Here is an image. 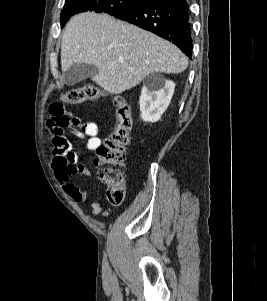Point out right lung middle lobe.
Listing matches in <instances>:
<instances>
[{"label": "right lung middle lobe", "instance_id": "right-lung-middle-lobe-1", "mask_svg": "<svg viewBox=\"0 0 267 301\" xmlns=\"http://www.w3.org/2000/svg\"><path fill=\"white\" fill-rule=\"evenodd\" d=\"M143 2L142 0H65L61 12V27L76 13L95 11L115 16L118 13L133 9Z\"/></svg>", "mask_w": 267, "mask_h": 301}]
</instances>
